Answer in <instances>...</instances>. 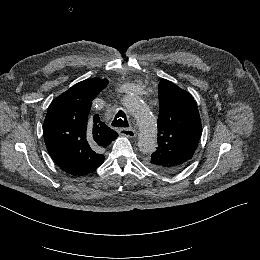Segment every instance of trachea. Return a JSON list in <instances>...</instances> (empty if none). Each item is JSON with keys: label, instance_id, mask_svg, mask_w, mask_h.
I'll list each match as a JSON object with an SVG mask.
<instances>
[{"label": "trachea", "instance_id": "1", "mask_svg": "<svg viewBox=\"0 0 260 260\" xmlns=\"http://www.w3.org/2000/svg\"><path fill=\"white\" fill-rule=\"evenodd\" d=\"M112 126L116 128H127L128 121L126 114L123 111H119L112 122Z\"/></svg>", "mask_w": 260, "mask_h": 260}]
</instances>
